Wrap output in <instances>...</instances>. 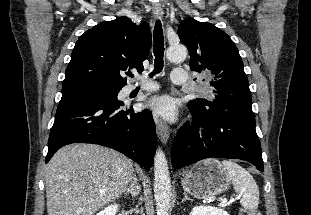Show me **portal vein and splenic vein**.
I'll return each instance as SVG.
<instances>
[{"label": "portal vein and splenic vein", "mask_w": 311, "mask_h": 215, "mask_svg": "<svg viewBox=\"0 0 311 215\" xmlns=\"http://www.w3.org/2000/svg\"><path fill=\"white\" fill-rule=\"evenodd\" d=\"M238 198H232V199H230L229 201H227V199H223L222 201H221V203L219 204V206H221V207H225V206H227V205H230L231 203H233L235 200H237Z\"/></svg>", "instance_id": "18ae733b"}]
</instances>
